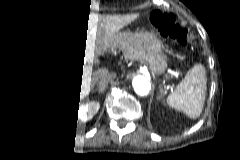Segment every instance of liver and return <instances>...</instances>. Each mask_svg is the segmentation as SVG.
<instances>
[{
  "instance_id": "6515ba94",
  "label": "liver",
  "mask_w": 240,
  "mask_h": 160,
  "mask_svg": "<svg viewBox=\"0 0 240 160\" xmlns=\"http://www.w3.org/2000/svg\"><path fill=\"white\" fill-rule=\"evenodd\" d=\"M139 14L125 16L111 15H89L85 61L90 62L96 57H104L115 43V39L120 29L134 21ZM109 74L107 67H98L90 74L82 77L80 100L87 97L94 89L97 81L106 78Z\"/></svg>"
}]
</instances>
